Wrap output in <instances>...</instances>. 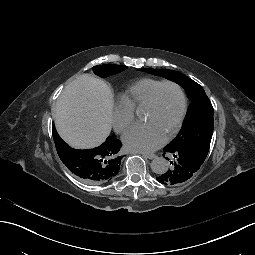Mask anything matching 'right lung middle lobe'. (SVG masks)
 Instances as JSON below:
<instances>
[{
	"mask_svg": "<svg viewBox=\"0 0 255 255\" xmlns=\"http://www.w3.org/2000/svg\"><path fill=\"white\" fill-rule=\"evenodd\" d=\"M127 66L122 65H115V64H105V65H98L93 67V71L96 75L104 78L110 75H114L125 70Z\"/></svg>",
	"mask_w": 255,
	"mask_h": 255,
	"instance_id": "right-lung-middle-lobe-1",
	"label": "right lung middle lobe"
}]
</instances>
